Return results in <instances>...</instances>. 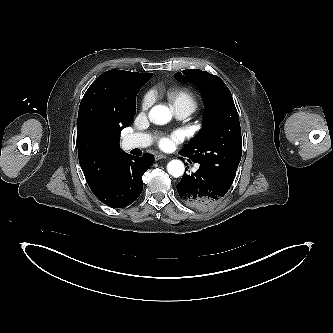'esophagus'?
Segmentation results:
<instances>
[{
  "label": "esophagus",
  "instance_id": "34e87169",
  "mask_svg": "<svg viewBox=\"0 0 333 333\" xmlns=\"http://www.w3.org/2000/svg\"><path fill=\"white\" fill-rule=\"evenodd\" d=\"M165 158H166V156L163 155V154H156V155L154 156V160H155V161H158V160H161V159H165Z\"/></svg>",
  "mask_w": 333,
  "mask_h": 333
}]
</instances>
